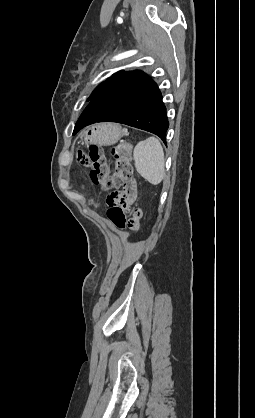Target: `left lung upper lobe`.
Segmentation results:
<instances>
[{
    "instance_id": "5c2ea615",
    "label": "left lung upper lobe",
    "mask_w": 255,
    "mask_h": 418,
    "mask_svg": "<svg viewBox=\"0 0 255 418\" xmlns=\"http://www.w3.org/2000/svg\"><path fill=\"white\" fill-rule=\"evenodd\" d=\"M124 73V70L118 71L116 73H114L111 77H109L108 79H106L105 81H103L101 84L98 85V87L95 88V90L92 92V94L90 95V97L87 99V101H91L93 98H95L99 93H101L103 91V89L112 81H114L116 78H118L121 74ZM78 132L77 128H74V132L76 133Z\"/></svg>"
}]
</instances>
